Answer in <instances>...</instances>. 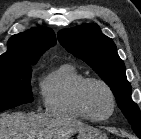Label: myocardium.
Masks as SVG:
<instances>
[{"label": "myocardium", "mask_w": 141, "mask_h": 139, "mask_svg": "<svg viewBox=\"0 0 141 139\" xmlns=\"http://www.w3.org/2000/svg\"><path fill=\"white\" fill-rule=\"evenodd\" d=\"M91 84L101 85L103 88L106 89V91L108 92V94L110 96L111 110H110V113L105 117H96L89 110V107H88L87 101H86V90H87L88 86ZM76 98H77V102H78L81 110L84 112V114L87 116V118L92 121H96V122L106 121L113 116L115 109H116V97H115L113 89L106 81H104L103 79H100V78L87 77L84 80H82L77 87Z\"/></svg>", "instance_id": "myocardium-1"}]
</instances>
